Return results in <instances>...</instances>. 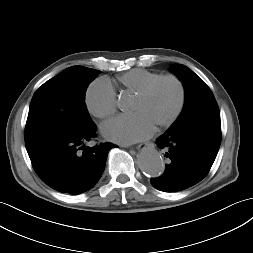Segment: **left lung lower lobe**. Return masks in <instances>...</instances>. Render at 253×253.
<instances>
[{
  "label": "left lung lower lobe",
  "mask_w": 253,
  "mask_h": 253,
  "mask_svg": "<svg viewBox=\"0 0 253 253\" xmlns=\"http://www.w3.org/2000/svg\"><path fill=\"white\" fill-rule=\"evenodd\" d=\"M221 143V123L202 120L170 127L157 139L168 158L165 172L151 184L164 192L181 191L209 172Z\"/></svg>",
  "instance_id": "left-lung-lower-lobe-1"
}]
</instances>
